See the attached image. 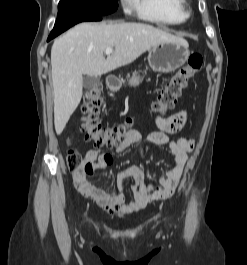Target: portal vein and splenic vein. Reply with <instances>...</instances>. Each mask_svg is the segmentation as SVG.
Instances as JSON below:
<instances>
[{
	"label": "portal vein and splenic vein",
	"mask_w": 247,
	"mask_h": 265,
	"mask_svg": "<svg viewBox=\"0 0 247 265\" xmlns=\"http://www.w3.org/2000/svg\"><path fill=\"white\" fill-rule=\"evenodd\" d=\"M112 51H113L112 48H106L105 53H106V55H109L112 53Z\"/></svg>",
	"instance_id": "1"
}]
</instances>
